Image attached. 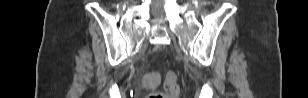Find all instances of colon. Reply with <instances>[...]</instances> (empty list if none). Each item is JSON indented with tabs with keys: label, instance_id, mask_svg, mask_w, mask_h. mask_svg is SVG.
Instances as JSON below:
<instances>
[{
	"label": "colon",
	"instance_id": "colon-1",
	"mask_svg": "<svg viewBox=\"0 0 308 98\" xmlns=\"http://www.w3.org/2000/svg\"><path fill=\"white\" fill-rule=\"evenodd\" d=\"M179 96V86L177 75L174 71H169L164 81V92H153L148 98H177Z\"/></svg>",
	"mask_w": 308,
	"mask_h": 98
}]
</instances>
